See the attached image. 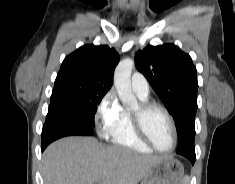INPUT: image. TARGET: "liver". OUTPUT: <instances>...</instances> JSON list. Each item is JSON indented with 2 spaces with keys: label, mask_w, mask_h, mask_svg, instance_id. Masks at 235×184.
Here are the masks:
<instances>
[{
  "label": "liver",
  "mask_w": 235,
  "mask_h": 184,
  "mask_svg": "<svg viewBox=\"0 0 235 184\" xmlns=\"http://www.w3.org/2000/svg\"><path fill=\"white\" fill-rule=\"evenodd\" d=\"M168 156H140L128 148H104L96 138L70 136L50 144L42 158L45 184H138Z\"/></svg>",
  "instance_id": "1"
}]
</instances>
